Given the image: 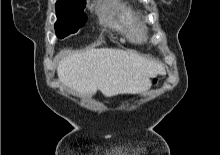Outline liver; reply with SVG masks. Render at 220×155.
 <instances>
[{"mask_svg":"<svg viewBox=\"0 0 220 155\" xmlns=\"http://www.w3.org/2000/svg\"><path fill=\"white\" fill-rule=\"evenodd\" d=\"M164 72L161 63L115 48L68 53L57 67L59 80L79 96H92L97 90L106 97L139 94L151 87V78Z\"/></svg>","mask_w":220,"mask_h":155,"instance_id":"liver-1","label":"liver"}]
</instances>
